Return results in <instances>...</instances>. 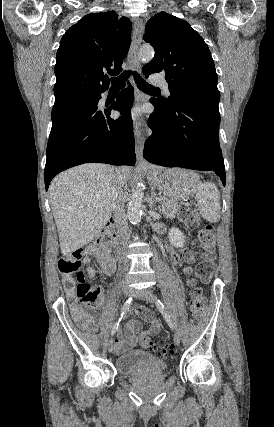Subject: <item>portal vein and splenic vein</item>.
<instances>
[{
  "mask_svg": "<svg viewBox=\"0 0 274 427\" xmlns=\"http://www.w3.org/2000/svg\"><path fill=\"white\" fill-rule=\"evenodd\" d=\"M157 202H160V200H162V198H156Z\"/></svg>",
  "mask_w": 274,
  "mask_h": 427,
  "instance_id": "1",
  "label": "portal vein and splenic vein"
}]
</instances>
